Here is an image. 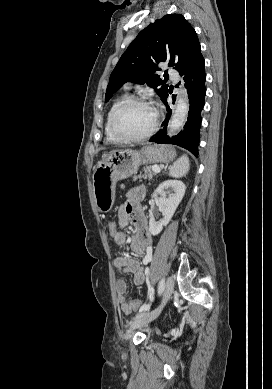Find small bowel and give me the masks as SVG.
I'll use <instances>...</instances> for the list:
<instances>
[{
    "instance_id": "c3829d8e",
    "label": "small bowel",
    "mask_w": 272,
    "mask_h": 389,
    "mask_svg": "<svg viewBox=\"0 0 272 389\" xmlns=\"http://www.w3.org/2000/svg\"><path fill=\"white\" fill-rule=\"evenodd\" d=\"M145 194L143 187H134L128 194L125 203L118 209V223L123 229L129 222L133 225L134 235L129 240L131 250L138 256H143L148 259L150 256L151 235L149 233L145 217L142 213L140 202ZM114 241L118 245H123L128 242V237L124 230H120L114 237ZM115 266L118 269L119 275L126 273L133 274V283L136 286H141L145 281V270L142 263L131 257H118L115 260ZM117 303L120 305L125 314L133 312L132 308L126 301V282L119 278L115 284Z\"/></svg>"
}]
</instances>
